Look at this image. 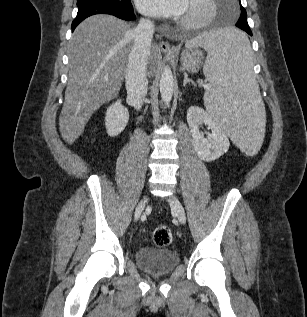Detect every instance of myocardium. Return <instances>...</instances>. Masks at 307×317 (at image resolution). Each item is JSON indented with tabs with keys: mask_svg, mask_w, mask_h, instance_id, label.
Instances as JSON below:
<instances>
[{
	"mask_svg": "<svg viewBox=\"0 0 307 317\" xmlns=\"http://www.w3.org/2000/svg\"><path fill=\"white\" fill-rule=\"evenodd\" d=\"M191 5L199 7L200 12L196 16H184L180 24L188 29H198L208 25L214 18L217 10L215 0H189Z\"/></svg>",
	"mask_w": 307,
	"mask_h": 317,
	"instance_id": "myocardium-1",
	"label": "myocardium"
}]
</instances>
